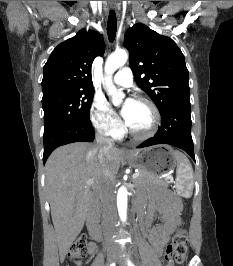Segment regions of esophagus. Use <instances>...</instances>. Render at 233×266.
Masks as SVG:
<instances>
[{"label": "esophagus", "instance_id": "34e87169", "mask_svg": "<svg viewBox=\"0 0 233 266\" xmlns=\"http://www.w3.org/2000/svg\"><path fill=\"white\" fill-rule=\"evenodd\" d=\"M110 7H111L112 9H115V7H116L115 1H110ZM120 152H121L122 154H130V151H129L127 148H125V147H122V148L120 149Z\"/></svg>", "mask_w": 233, "mask_h": 266}]
</instances>
